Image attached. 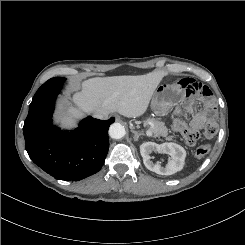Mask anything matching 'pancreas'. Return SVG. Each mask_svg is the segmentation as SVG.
<instances>
[{
	"mask_svg": "<svg viewBox=\"0 0 245 245\" xmlns=\"http://www.w3.org/2000/svg\"><path fill=\"white\" fill-rule=\"evenodd\" d=\"M147 123L150 125V130L154 137H160L163 136L166 138V140L171 141L173 140V136L168 135V129L165 126L164 122L158 121L154 118L147 119Z\"/></svg>",
	"mask_w": 245,
	"mask_h": 245,
	"instance_id": "cf45deb5",
	"label": "pancreas"
}]
</instances>
